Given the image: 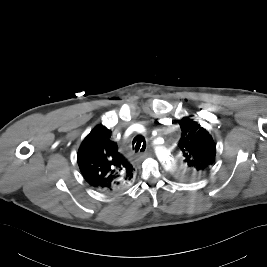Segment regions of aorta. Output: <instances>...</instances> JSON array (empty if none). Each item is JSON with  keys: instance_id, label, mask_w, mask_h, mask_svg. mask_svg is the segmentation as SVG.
<instances>
[{"instance_id": "1", "label": "aorta", "mask_w": 267, "mask_h": 267, "mask_svg": "<svg viewBox=\"0 0 267 267\" xmlns=\"http://www.w3.org/2000/svg\"><path fill=\"white\" fill-rule=\"evenodd\" d=\"M162 160L169 171H174L176 169V160L170 152H165L162 156Z\"/></svg>"}]
</instances>
